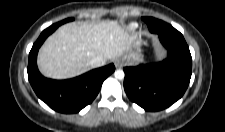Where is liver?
<instances>
[{
    "label": "liver",
    "instance_id": "liver-1",
    "mask_svg": "<svg viewBox=\"0 0 225 132\" xmlns=\"http://www.w3.org/2000/svg\"><path fill=\"white\" fill-rule=\"evenodd\" d=\"M134 42L117 21L67 23L42 45L38 67L48 78H72L90 70L96 57L109 61L132 52Z\"/></svg>",
    "mask_w": 225,
    "mask_h": 132
}]
</instances>
